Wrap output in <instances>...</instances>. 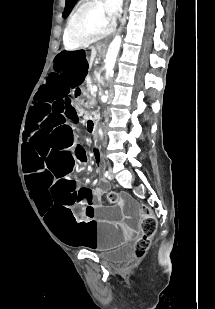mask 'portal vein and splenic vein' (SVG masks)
<instances>
[{
  "label": "portal vein and splenic vein",
  "mask_w": 215,
  "mask_h": 309,
  "mask_svg": "<svg viewBox=\"0 0 215 309\" xmlns=\"http://www.w3.org/2000/svg\"><path fill=\"white\" fill-rule=\"evenodd\" d=\"M96 90H97V86H92L91 94H95Z\"/></svg>",
  "instance_id": "obj_1"
}]
</instances>
